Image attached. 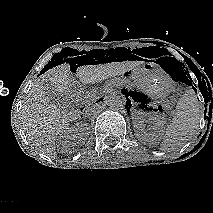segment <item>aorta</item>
<instances>
[{"instance_id":"762f6f07","label":"aorta","mask_w":213,"mask_h":213,"mask_svg":"<svg viewBox=\"0 0 213 213\" xmlns=\"http://www.w3.org/2000/svg\"><path fill=\"white\" fill-rule=\"evenodd\" d=\"M106 105L112 110H118L123 107V100L117 93H113L106 98Z\"/></svg>"}]
</instances>
